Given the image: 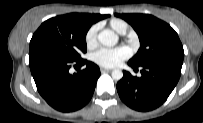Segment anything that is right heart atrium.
<instances>
[{"mask_svg": "<svg viewBox=\"0 0 203 123\" xmlns=\"http://www.w3.org/2000/svg\"><path fill=\"white\" fill-rule=\"evenodd\" d=\"M97 32H98V26L94 25L92 26L86 36H85V42L87 44L88 47H93L96 45L97 42Z\"/></svg>", "mask_w": 203, "mask_h": 123, "instance_id": "d8ad5b80", "label": "right heart atrium"}]
</instances>
